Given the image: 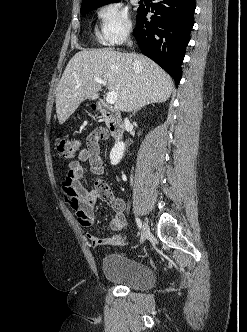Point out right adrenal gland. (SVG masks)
<instances>
[{
	"label": "right adrenal gland",
	"mask_w": 247,
	"mask_h": 332,
	"mask_svg": "<svg viewBox=\"0 0 247 332\" xmlns=\"http://www.w3.org/2000/svg\"><path fill=\"white\" fill-rule=\"evenodd\" d=\"M140 109H141V107L138 108V109H136V110L133 112V115H134L138 110H140Z\"/></svg>",
	"instance_id": "2a0ac1e0"
}]
</instances>
